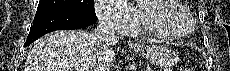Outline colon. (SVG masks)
<instances>
[{
  "label": "colon",
  "instance_id": "colon-1",
  "mask_svg": "<svg viewBox=\"0 0 230 71\" xmlns=\"http://www.w3.org/2000/svg\"><path fill=\"white\" fill-rule=\"evenodd\" d=\"M181 71H191L189 68H182Z\"/></svg>",
  "mask_w": 230,
  "mask_h": 71
}]
</instances>
